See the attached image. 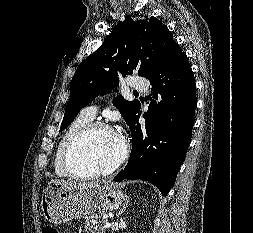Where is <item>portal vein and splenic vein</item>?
Instances as JSON below:
<instances>
[{
    "mask_svg": "<svg viewBox=\"0 0 253 233\" xmlns=\"http://www.w3.org/2000/svg\"><path fill=\"white\" fill-rule=\"evenodd\" d=\"M111 226V224L109 223V222H106L105 224H104V227L105 228H109Z\"/></svg>",
    "mask_w": 253,
    "mask_h": 233,
    "instance_id": "18ae733b",
    "label": "portal vein and splenic vein"
}]
</instances>
